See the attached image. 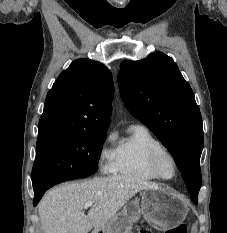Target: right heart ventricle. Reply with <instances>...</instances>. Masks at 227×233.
Returning a JSON list of instances; mask_svg holds the SVG:
<instances>
[{
    "mask_svg": "<svg viewBox=\"0 0 227 233\" xmlns=\"http://www.w3.org/2000/svg\"><path fill=\"white\" fill-rule=\"evenodd\" d=\"M162 149L163 145L146 127L133 125L117 143L112 172L135 179L156 180L158 178L149 167V158Z\"/></svg>",
    "mask_w": 227,
    "mask_h": 233,
    "instance_id": "e07e8e85",
    "label": "right heart ventricle"
}]
</instances>
